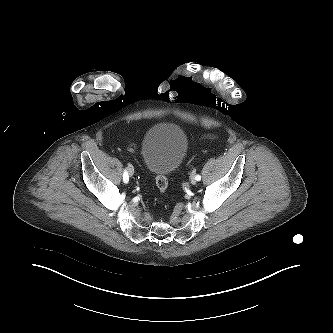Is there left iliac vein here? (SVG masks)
Wrapping results in <instances>:
<instances>
[{
	"label": "left iliac vein",
	"mask_w": 333,
	"mask_h": 333,
	"mask_svg": "<svg viewBox=\"0 0 333 333\" xmlns=\"http://www.w3.org/2000/svg\"><path fill=\"white\" fill-rule=\"evenodd\" d=\"M196 182H197V180H196L194 174H192V175H191V183H192V184H196Z\"/></svg>",
	"instance_id": "1"
}]
</instances>
